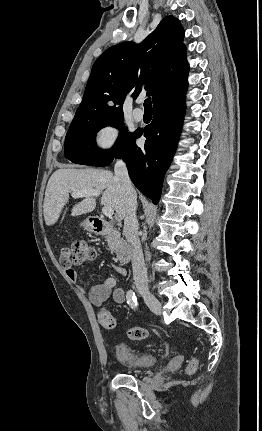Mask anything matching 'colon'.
<instances>
[{"label":"colon","mask_w":262,"mask_h":431,"mask_svg":"<svg viewBox=\"0 0 262 431\" xmlns=\"http://www.w3.org/2000/svg\"><path fill=\"white\" fill-rule=\"evenodd\" d=\"M62 256L66 261L82 264L93 259L94 248L84 241H73L63 247ZM98 318L103 328L113 329L115 327V320L109 312L101 311ZM147 335L146 329L139 326H133L128 330V337L131 340L141 341L146 339ZM198 364L197 358L190 359L186 367L187 374H193L197 370Z\"/></svg>","instance_id":"obj_1"}]
</instances>
